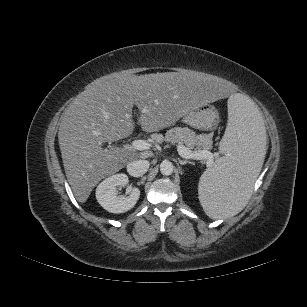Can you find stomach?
<instances>
[{"mask_svg":"<svg viewBox=\"0 0 307 307\" xmlns=\"http://www.w3.org/2000/svg\"><path fill=\"white\" fill-rule=\"evenodd\" d=\"M182 121L196 129H212L219 122V113L214 106L203 104L184 114Z\"/></svg>","mask_w":307,"mask_h":307,"instance_id":"obj_1","label":"stomach"}]
</instances>
